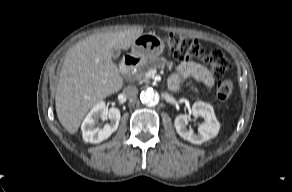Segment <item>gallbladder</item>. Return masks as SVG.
Segmentation results:
<instances>
[{"mask_svg":"<svg viewBox=\"0 0 292 192\" xmlns=\"http://www.w3.org/2000/svg\"><path fill=\"white\" fill-rule=\"evenodd\" d=\"M119 55H120V51H119V49H112V58L113 59H115V60H117L118 59V57H119Z\"/></svg>","mask_w":292,"mask_h":192,"instance_id":"obj_1","label":"gallbladder"}]
</instances>
